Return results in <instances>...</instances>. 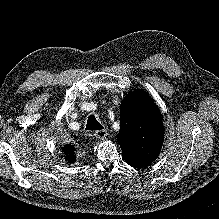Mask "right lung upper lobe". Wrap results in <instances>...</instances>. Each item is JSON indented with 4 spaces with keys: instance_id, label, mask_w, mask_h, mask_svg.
Here are the masks:
<instances>
[{
    "instance_id": "1",
    "label": "right lung upper lobe",
    "mask_w": 219,
    "mask_h": 219,
    "mask_svg": "<svg viewBox=\"0 0 219 219\" xmlns=\"http://www.w3.org/2000/svg\"><path fill=\"white\" fill-rule=\"evenodd\" d=\"M63 151L66 154V159L72 163L75 160L74 149L71 145H66L63 147Z\"/></svg>"
}]
</instances>
